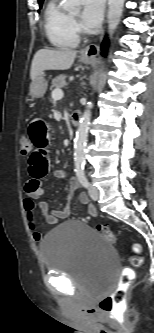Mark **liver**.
<instances>
[{"instance_id":"obj_1","label":"liver","mask_w":154,"mask_h":333,"mask_svg":"<svg viewBox=\"0 0 154 333\" xmlns=\"http://www.w3.org/2000/svg\"><path fill=\"white\" fill-rule=\"evenodd\" d=\"M77 55V51L66 48L40 49L34 55L31 64L30 77L33 81L45 70L69 69Z\"/></svg>"}]
</instances>
